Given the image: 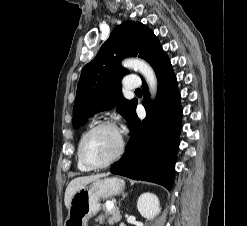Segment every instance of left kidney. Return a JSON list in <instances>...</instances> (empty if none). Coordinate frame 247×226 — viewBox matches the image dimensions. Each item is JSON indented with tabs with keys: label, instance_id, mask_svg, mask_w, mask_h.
<instances>
[{
	"label": "left kidney",
	"instance_id": "left-kidney-1",
	"mask_svg": "<svg viewBox=\"0 0 247 226\" xmlns=\"http://www.w3.org/2000/svg\"><path fill=\"white\" fill-rule=\"evenodd\" d=\"M137 209L143 217L153 219L160 213L158 197L149 192L143 193L138 199Z\"/></svg>",
	"mask_w": 247,
	"mask_h": 226
}]
</instances>
